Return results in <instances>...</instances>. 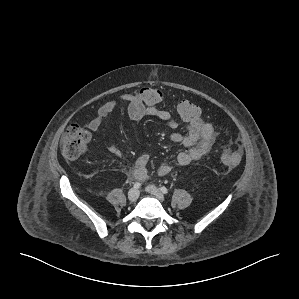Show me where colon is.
<instances>
[{
  "label": "colon",
  "instance_id": "obj_1",
  "mask_svg": "<svg viewBox=\"0 0 299 299\" xmlns=\"http://www.w3.org/2000/svg\"><path fill=\"white\" fill-rule=\"evenodd\" d=\"M140 97L148 107H158L162 101V93L151 87H144L139 91ZM177 113L181 121L191 122L200 117L199 107L189 100H182L177 105ZM90 141L89 131L77 124L70 125L62 138V153L66 159L74 160L87 149ZM242 151L231 145H224L220 154L223 165L233 168L240 164Z\"/></svg>",
  "mask_w": 299,
  "mask_h": 299
}]
</instances>
